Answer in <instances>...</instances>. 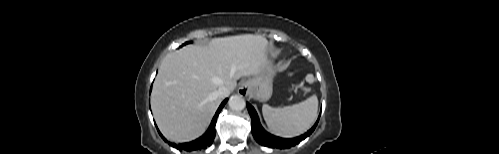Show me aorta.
Listing matches in <instances>:
<instances>
[{
	"mask_svg": "<svg viewBox=\"0 0 499 154\" xmlns=\"http://www.w3.org/2000/svg\"><path fill=\"white\" fill-rule=\"evenodd\" d=\"M230 109L234 111H241L245 108V100L240 95L232 96L228 101Z\"/></svg>",
	"mask_w": 499,
	"mask_h": 154,
	"instance_id": "obj_1",
	"label": "aorta"
}]
</instances>
